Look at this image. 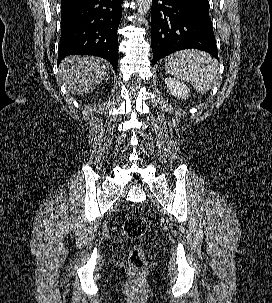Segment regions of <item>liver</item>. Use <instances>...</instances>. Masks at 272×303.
Wrapping results in <instances>:
<instances>
[{"label": "liver", "mask_w": 272, "mask_h": 303, "mask_svg": "<svg viewBox=\"0 0 272 303\" xmlns=\"http://www.w3.org/2000/svg\"><path fill=\"white\" fill-rule=\"evenodd\" d=\"M109 73V63L99 57L70 56L62 60L59 75L72 94L88 93Z\"/></svg>", "instance_id": "6515ba94"}]
</instances>
